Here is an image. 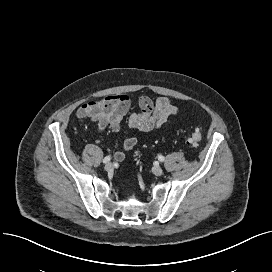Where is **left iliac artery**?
<instances>
[{"instance_id": "44dca946", "label": "left iliac artery", "mask_w": 272, "mask_h": 272, "mask_svg": "<svg viewBox=\"0 0 272 272\" xmlns=\"http://www.w3.org/2000/svg\"><path fill=\"white\" fill-rule=\"evenodd\" d=\"M158 159H159V161H161V162H163V161L165 160L164 156H162V155H159V156H158Z\"/></svg>"}]
</instances>
